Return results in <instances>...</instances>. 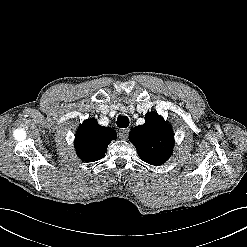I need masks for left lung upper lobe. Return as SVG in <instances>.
<instances>
[{
    "mask_svg": "<svg viewBox=\"0 0 247 247\" xmlns=\"http://www.w3.org/2000/svg\"><path fill=\"white\" fill-rule=\"evenodd\" d=\"M145 120V124L130 131L129 140L143 161L155 166L161 165L168 160L173 150L172 128L155 112L147 114Z\"/></svg>",
    "mask_w": 247,
    "mask_h": 247,
    "instance_id": "1",
    "label": "left lung upper lobe"
}]
</instances>
